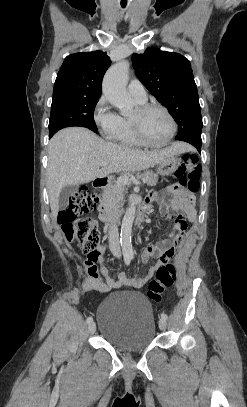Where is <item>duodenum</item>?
Listing matches in <instances>:
<instances>
[{"label":"duodenum","instance_id":"duodenum-1","mask_svg":"<svg viewBox=\"0 0 247 407\" xmlns=\"http://www.w3.org/2000/svg\"><path fill=\"white\" fill-rule=\"evenodd\" d=\"M108 186V182L106 178H96L93 181V187L96 190H102ZM99 218L102 222L109 225L113 223L118 218V210L112 206L102 204L98 208ZM146 215V205L142 204L141 207L136 211V220L137 222H141Z\"/></svg>","mask_w":247,"mask_h":407}]
</instances>
